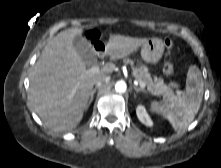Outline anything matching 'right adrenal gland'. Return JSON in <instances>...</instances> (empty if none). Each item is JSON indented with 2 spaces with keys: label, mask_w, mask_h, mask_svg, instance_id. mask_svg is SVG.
<instances>
[{
  "label": "right adrenal gland",
  "mask_w": 221,
  "mask_h": 168,
  "mask_svg": "<svg viewBox=\"0 0 221 168\" xmlns=\"http://www.w3.org/2000/svg\"><path fill=\"white\" fill-rule=\"evenodd\" d=\"M97 89H98V87H95V88L92 90V92H91V94H90V98H89V100H88V102H87V105H86V109H88V107L90 106L91 102L93 101V97H94V94H95V92H96Z\"/></svg>",
  "instance_id": "obj_1"
}]
</instances>
